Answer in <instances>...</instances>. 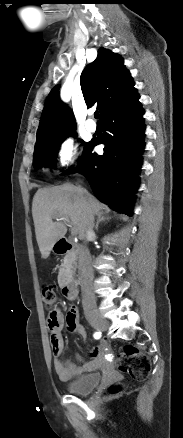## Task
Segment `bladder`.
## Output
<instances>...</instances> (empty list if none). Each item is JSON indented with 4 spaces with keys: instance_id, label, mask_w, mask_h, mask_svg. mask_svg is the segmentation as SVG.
I'll return each mask as SVG.
<instances>
[{
    "instance_id": "1",
    "label": "bladder",
    "mask_w": 183,
    "mask_h": 438,
    "mask_svg": "<svg viewBox=\"0 0 183 438\" xmlns=\"http://www.w3.org/2000/svg\"><path fill=\"white\" fill-rule=\"evenodd\" d=\"M100 381L101 374L99 373L84 374L70 381L66 385V389L72 394L86 395L91 393L99 385Z\"/></svg>"
}]
</instances>
